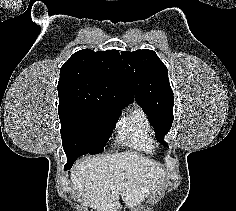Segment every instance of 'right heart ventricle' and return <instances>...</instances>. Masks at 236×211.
I'll list each match as a JSON object with an SVG mask.
<instances>
[{
	"label": "right heart ventricle",
	"mask_w": 236,
	"mask_h": 211,
	"mask_svg": "<svg viewBox=\"0 0 236 211\" xmlns=\"http://www.w3.org/2000/svg\"><path fill=\"white\" fill-rule=\"evenodd\" d=\"M116 141L131 149L153 154L156 143L146 114L139 107H134L124 116L117 129Z\"/></svg>",
	"instance_id": "1"
}]
</instances>
